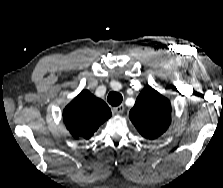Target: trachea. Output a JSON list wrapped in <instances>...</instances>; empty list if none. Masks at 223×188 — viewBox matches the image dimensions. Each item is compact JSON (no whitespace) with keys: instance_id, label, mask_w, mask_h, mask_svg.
I'll return each instance as SVG.
<instances>
[{"instance_id":"3493384b","label":"trachea","mask_w":223,"mask_h":188,"mask_svg":"<svg viewBox=\"0 0 223 188\" xmlns=\"http://www.w3.org/2000/svg\"><path fill=\"white\" fill-rule=\"evenodd\" d=\"M108 103L112 106H119L123 100L119 92L111 91L107 97Z\"/></svg>"}]
</instances>
